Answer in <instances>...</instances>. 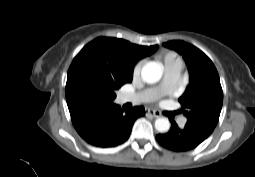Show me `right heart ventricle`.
<instances>
[{"label": "right heart ventricle", "instance_id": "e07e8e85", "mask_svg": "<svg viewBox=\"0 0 255 177\" xmlns=\"http://www.w3.org/2000/svg\"><path fill=\"white\" fill-rule=\"evenodd\" d=\"M165 73H180L183 68L181 56L174 50H164L157 55Z\"/></svg>", "mask_w": 255, "mask_h": 177}]
</instances>
